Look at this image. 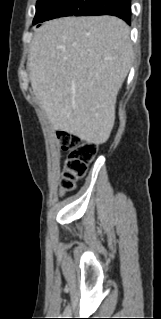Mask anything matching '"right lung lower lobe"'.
I'll list each match as a JSON object with an SVG mask.
<instances>
[{
	"label": "right lung lower lobe",
	"instance_id": "right-lung-lower-lobe-1",
	"mask_svg": "<svg viewBox=\"0 0 161 319\" xmlns=\"http://www.w3.org/2000/svg\"><path fill=\"white\" fill-rule=\"evenodd\" d=\"M112 15L130 25L131 0H94L79 16Z\"/></svg>",
	"mask_w": 161,
	"mask_h": 319
}]
</instances>
